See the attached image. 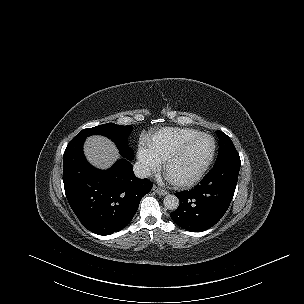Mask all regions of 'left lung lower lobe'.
I'll list each match as a JSON object with an SVG mask.
<instances>
[{
	"instance_id": "obj_1",
	"label": "left lung lower lobe",
	"mask_w": 304,
	"mask_h": 304,
	"mask_svg": "<svg viewBox=\"0 0 304 304\" xmlns=\"http://www.w3.org/2000/svg\"><path fill=\"white\" fill-rule=\"evenodd\" d=\"M240 158L218 164L189 191L175 195L180 200L179 207L170 217L180 227L195 232L214 226L227 211L233 198Z\"/></svg>"
}]
</instances>
